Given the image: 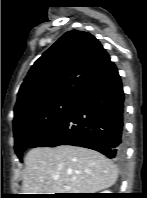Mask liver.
Masks as SVG:
<instances>
[{"label":"liver","instance_id":"obj_1","mask_svg":"<svg viewBox=\"0 0 147 198\" xmlns=\"http://www.w3.org/2000/svg\"><path fill=\"white\" fill-rule=\"evenodd\" d=\"M117 177L114 163L97 151L71 145L37 147L25 157L22 191L96 193L114 185Z\"/></svg>","mask_w":147,"mask_h":198}]
</instances>
